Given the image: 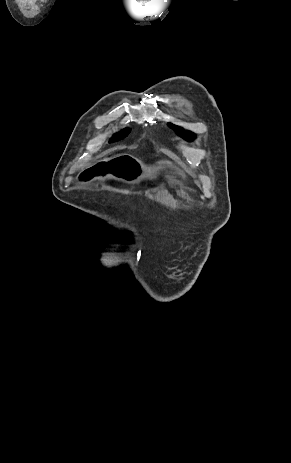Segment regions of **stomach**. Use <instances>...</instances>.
Wrapping results in <instances>:
<instances>
[{"label": "stomach", "mask_w": 291, "mask_h": 463, "mask_svg": "<svg viewBox=\"0 0 291 463\" xmlns=\"http://www.w3.org/2000/svg\"><path fill=\"white\" fill-rule=\"evenodd\" d=\"M171 169L181 180H187V174L177 163L162 159L152 165H145L138 159L124 153L114 159L111 157H98L93 162L92 168L85 170L80 175L81 183H96L99 176L116 177L127 183H135L143 178H153L161 171Z\"/></svg>", "instance_id": "obj_1"}]
</instances>
